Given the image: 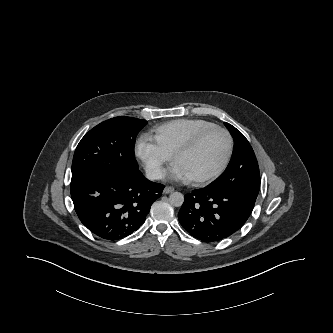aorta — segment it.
<instances>
[{"label":"aorta","instance_id":"1","mask_svg":"<svg viewBox=\"0 0 333 333\" xmlns=\"http://www.w3.org/2000/svg\"><path fill=\"white\" fill-rule=\"evenodd\" d=\"M169 202L175 207H180L184 202V196L180 192H173L169 197Z\"/></svg>","mask_w":333,"mask_h":333}]
</instances>
